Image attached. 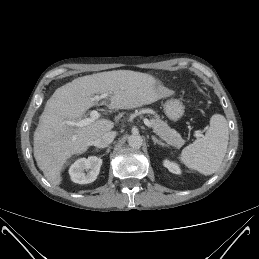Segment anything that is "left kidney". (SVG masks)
<instances>
[{
  "mask_svg": "<svg viewBox=\"0 0 259 259\" xmlns=\"http://www.w3.org/2000/svg\"><path fill=\"white\" fill-rule=\"evenodd\" d=\"M163 165L172 173L174 174H180L181 170L179 168V166L176 163H173L169 160H164Z\"/></svg>",
  "mask_w": 259,
  "mask_h": 259,
  "instance_id": "obj_1",
  "label": "left kidney"
}]
</instances>
